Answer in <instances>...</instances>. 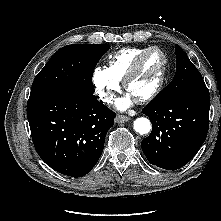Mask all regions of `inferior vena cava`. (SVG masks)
<instances>
[{"mask_svg":"<svg viewBox=\"0 0 221 221\" xmlns=\"http://www.w3.org/2000/svg\"><path fill=\"white\" fill-rule=\"evenodd\" d=\"M104 100L106 101V102H110L111 101V99H112V97L110 96V95H104Z\"/></svg>","mask_w":221,"mask_h":221,"instance_id":"602c4592","label":"inferior vena cava"}]
</instances>
